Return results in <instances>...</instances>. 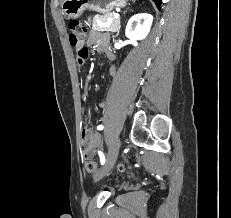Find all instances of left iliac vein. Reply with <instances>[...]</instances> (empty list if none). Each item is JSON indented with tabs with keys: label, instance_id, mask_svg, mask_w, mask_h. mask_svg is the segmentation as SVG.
<instances>
[{
	"label": "left iliac vein",
	"instance_id": "4c4485c4",
	"mask_svg": "<svg viewBox=\"0 0 231 218\" xmlns=\"http://www.w3.org/2000/svg\"><path fill=\"white\" fill-rule=\"evenodd\" d=\"M120 147H121V141L118 137H116L111 147L108 150V154H107L104 167L94 175L95 181L102 179L114 166L117 160L118 154H119Z\"/></svg>",
	"mask_w": 231,
	"mask_h": 218
}]
</instances>
